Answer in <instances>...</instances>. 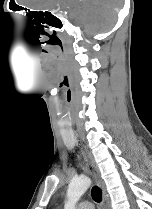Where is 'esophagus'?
Returning a JSON list of instances; mask_svg holds the SVG:
<instances>
[{
    "mask_svg": "<svg viewBox=\"0 0 152 209\" xmlns=\"http://www.w3.org/2000/svg\"><path fill=\"white\" fill-rule=\"evenodd\" d=\"M81 152L84 157L85 165L87 168V171L89 174L93 177L94 181L98 184V186L102 190V205L103 209H110L109 201H108V196L106 193L105 185L104 182L101 178L100 172L95 164V161L92 157L91 152L88 150V148L84 145L81 146Z\"/></svg>",
    "mask_w": 152,
    "mask_h": 209,
    "instance_id": "1",
    "label": "esophagus"
}]
</instances>
